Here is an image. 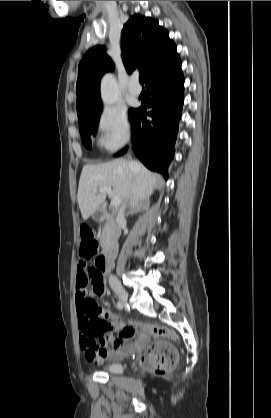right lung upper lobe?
<instances>
[{
    "instance_id": "cb5924a9",
    "label": "right lung upper lobe",
    "mask_w": 271,
    "mask_h": 418,
    "mask_svg": "<svg viewBox=\"0 0 271 418\" xmlns=\"http://www.w3.org/2000/svg\"><path fill=\"white\" fill-rule=\"evenodd\" d=\"M122 60L128 73L138 68L145 83L179 60L175 43L158 21L139 14L132 16L122 30ZM114 68L102 46L91 48L78 67L77 114L81 116L102 105L100 79Z\"/></svg>"
}]
</instances>
